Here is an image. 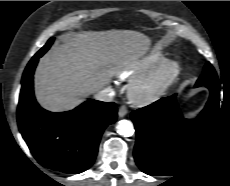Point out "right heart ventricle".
<instances>
[{"instance_id":"obj_1","label":"right heart ventricle","mask_w":230,"mask_h":186,"mask_svg":"<svg viewBox=\"0 0 230 186\" xmlns=\"http://www.w3.org/2000/svg\"><path fill=\"white\" fill-rule=\"evenodd\" d=\"M160 58V55L153 56L150 61L145 64V67L152 65L154 62L160 60ZM141 69L142 67L139 66L124 67L118 72V77L122 80L131 78L135 76Z\"/></svg>"}]
</instances>
